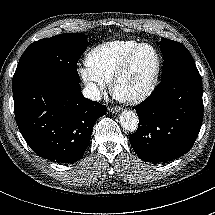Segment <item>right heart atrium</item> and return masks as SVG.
I'll return each instance as SVG.
<instances>
[{"instance_id":"right-heart-atrium-1","label":"right heart atrium","mask_w":215,"mask_h":215,"mask_svg":"<svg viewBox=\"0 0 215 215\" xmlns=\"http://www.w3.org/2000/svg\"><path fill=\"white\" fill-rule=\"evenodd\" d=\"M81 82L85 85L91 99L97 101L105 93V85L93 77H91L86 71H78Z\"/></svg>"}]
</instances>
